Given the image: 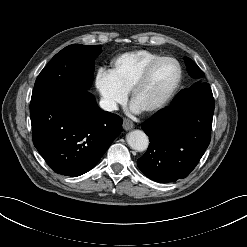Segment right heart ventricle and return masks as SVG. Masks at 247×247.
<instances>
[{"label":"right heart ventricle","instance_id":"e07e8e85","mask_svg":"<svg viewBox=\"0 0 247 247\" xmlns=\"http://www.w3.org/2000/svg\"><path fill=\"white\" fill-rule=\"evenodd\" d=\"M159 56V54L148 50H135L123 53L112 61L111 73L124 90L130 91L143 69Z\"/></svg>","mask_w":247,"mask_h":247}]
</instances>
